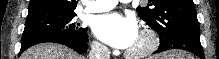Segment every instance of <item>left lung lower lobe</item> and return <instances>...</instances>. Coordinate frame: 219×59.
<instances>
[{
    "mask_svg": "<svg viewBox=\"0 0 219 59\" xmlns=\"http://www.w3.org/2000/svg\"><path fill=\"white\" fill-rule=\"evenodd\" d=\"M172 49L187 50L197 55L199 58L205 59L203 48L200 43V32L196 29L181 32L167 42L160 43L158 50L154 53H160Z\"/></svg>",
    "mask_w": 219,
    "mask_h": 59,
    "instance_id": "1",
    "label": "left lung lower lobe"
}]
</instances>
